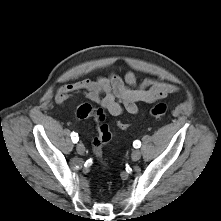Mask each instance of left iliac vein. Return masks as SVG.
I'll return each mask as SVG.
<instances>
[{
  "label": "left iliac vein",
  "mask_w": 221,
  "mask_h": 221,
  "mask_svg": "<svg viewBox=\"0 0 221 221\" xmlns=\"http://www.w3.org/2000/svg\"><path fill=\"white\" fill-rule=\"evenodd\" d=\"M131 158L133 161L139 160L141 158V151L138 149L134 150L131 154Z\"/></svg>",
  "instance_id": "4c4485c4"
}]
</instances>
